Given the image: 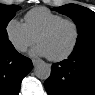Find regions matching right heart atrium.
I'll return each instance as SVG.
<instances>
[{
	"mask_svg": "<svg viewBox=\"0 0 95 95\" xmlns=\"http://www.w3.org/2000/svg\"><path fill=\"white\" fill-rule=\"evenodd\" d=\"M5 32L9 42L18 52H25L36 42V38L30 34L25 24L17 19L8 21Z\"/></svg>",
	"mask_w": 95,
	"mask_h": 95,
	"instance_id": "1",
	"label": "right heart atrium"
}]
</instances>
